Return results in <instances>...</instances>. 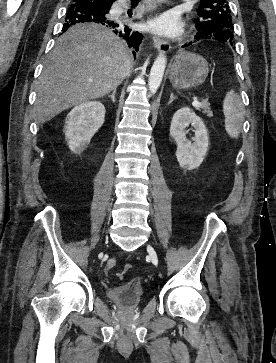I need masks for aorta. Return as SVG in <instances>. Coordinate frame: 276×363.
Segmentation results:
<instances>
[{"label": "aorta", "instance_id": "762f6f07", "mask_svg": "<svg viewBox=\"0 0 276 363\" xmlns=\"http://www.w3.org/2000/svg\"><path fill=\"white\" fill-rule=\"evenodd\" d=\"M167 59L164 53H160L159 56L155 59L150 75H149V91L151 94H155L163 79L164 71L166 68Z\"/></svg>", "mask_w": 276, "mask_h": 363}]
</instances>
